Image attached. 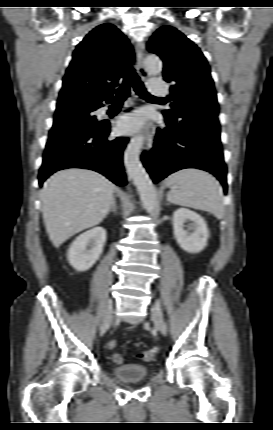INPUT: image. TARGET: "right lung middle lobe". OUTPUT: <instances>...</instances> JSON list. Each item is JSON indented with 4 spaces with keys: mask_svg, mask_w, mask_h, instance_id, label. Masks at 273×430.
I'll return each mask as SVG.
<instances>
[{
    "mask_svg": "<svg viewBox=\"0 0 273 430\" xmlns=\"http://www.w3.org/2000/svg\"><path fill=\"white\" fill-rule=\"evenodd\" d=\"M98 106L81 100H70L57 107L48 142L91 132L102 122L92 114Z\"/></svg>",
    "mask_w": 273,
    "mask_h": 430,
    "instance_id": "right-lung-middle-lobe-1",
    "label": "right lung middle lobe"
}]
</instances>
